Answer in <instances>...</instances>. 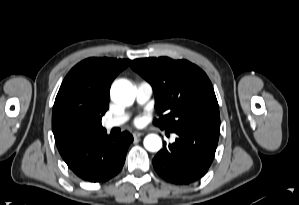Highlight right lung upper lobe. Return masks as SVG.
Listing matches in <instances>:
<instances>
[{
    "label": "right lung upper lobe",
    "instance_id": "cb5924a9",
    "mask_svg": "<svg viewBox=\"0 0 299 205\" xmlns=\"http://www.w3.org/2000/svg\"><path fill=\"white\" fill-rule=\"evenodd\" d=\"M130 60L88 58L67 74L56 96L52 130L64 160L86 140L105 132L102 116L109 108L112 81Z\"/></svg>",
    "mask_w": 299,
    "mask_h": 205
}]
</instances>
